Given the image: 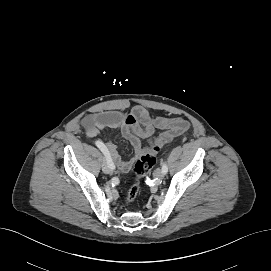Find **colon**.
<instances>
[{"label": "colon", "mask_w": 271, "mask_h": 271, "mask_svg": "<svg viewBox=\"0 0 271 271\" xmlns=\"http://www.w3.org/2000/svg\"><path fill=\"white\" fill-rule=\"evenodd\" d=\"M159 150L160 146L154 144L151 146L150 150L144 152L135 162L133 167L135 181L126 194L125 197L126 204L132 203L137 197L138 192L140 190V181L145 175H147L150 172L152 167L155 165L156 154L159 152Z\"/></svg>", "instance_id": "colon-1"}]
</instances>
